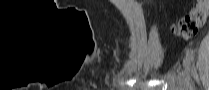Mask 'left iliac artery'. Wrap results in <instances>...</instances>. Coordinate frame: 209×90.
Instances as JSON below:
<instances>
[{
    "mask_svg": "<svg viewBox=\"0 0 209 90\" xmlns=\"http://www.w3.org/2000/svg\"><path fill=\"white\" fill-rule=\"evenodd\" d=\"M186 55L189 59L194 60V51L191 48L186 49Z\"/></svg>",
    "mask_w": 209,
    "mask_h": 90,
    "instance_id": "left-iliac-artery-1",
    "label": "left iliac artery"
}]
</instances>
